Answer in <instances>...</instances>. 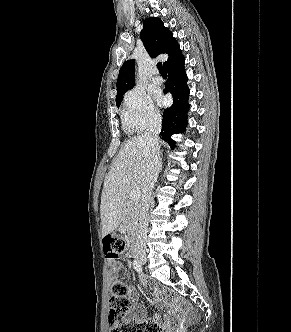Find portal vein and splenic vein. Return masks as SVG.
<instances>
[{
	"label": "portal vein and splenic vein",
	"instance_id": "obj_1",
	"mask_svg": "<svg viewBox=\"0 0 291 332\" xmlns=\"http://www.w3.org/2000/svg\"><path fill=\"white\" fill-rule=\"evenodd\" d=\"M140 190L138 189H134V190H131L130 193H129V197H130V200L132 201H136L140 198Z\"/></svg>",
	"mask_w": 291,
	"mask_h": 332
}]
</instances>
